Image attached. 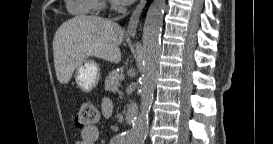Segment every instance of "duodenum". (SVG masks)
Segmentation results:
<instances>
[{"label":"duodenum","instance_id":"obj_1","mask_svg":"<svg viewBox=\"0 0 273 144\" xmlns=\"http://www.w3.org/2000/svg\"><path fill=\"white\" fill-rule=\"evenodd\" d=\"M138 115V109L137 107L133 106V105H129L126 107L125 110V121L128 124H131L135 121L136 117Z\"/></svg>","mask_w":273,"mask_h":144}]
</instances>
